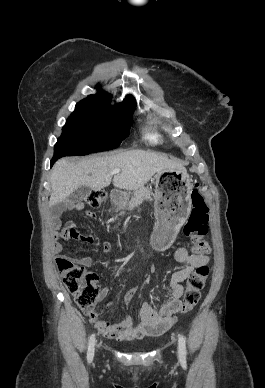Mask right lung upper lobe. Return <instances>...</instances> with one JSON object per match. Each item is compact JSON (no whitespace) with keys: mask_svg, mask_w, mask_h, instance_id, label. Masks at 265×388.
<instances>
[{"mask_svg":"<svg viewBox=\"0 0 265 388\" xmlns=\"http://www.w3.org/2000/svg\"><path fill=\"white\" fill-rule=\"evenodd\" d=\"M100 88H98L99 90ZM89 98H110V95H108L106 92L99 91L97 95H90ZM126 104L135 105V99L131 97V95H128L126 99L123 100Z\"/></svg>","mask_w":265,"mask_h":388,"instance_id":"cb5924a9","label":"right lung upper lobe"}]
</instances>
